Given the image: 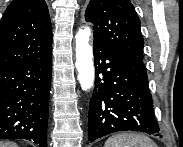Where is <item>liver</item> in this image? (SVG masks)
<instances>
[{
	"mask_svg": "<svg viewBox=\"0 0 183 147\" xmlns=\"http://www.w3.org/2000/svg\"><path fill=\"white\" fill-rule=\"evenodd\" d=\"M0 147H18V146L13 142H0Z\"/></svg>",
	"mask_w": 183,
	"mask_h": 147,
	"instance_id": "1",
	"label": "liver"
}]
</instances>
